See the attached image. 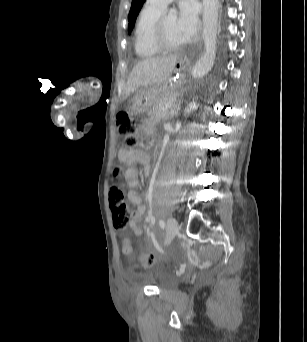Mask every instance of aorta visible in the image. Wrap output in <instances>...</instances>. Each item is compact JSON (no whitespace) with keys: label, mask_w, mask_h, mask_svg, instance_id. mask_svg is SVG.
Listing matches in <instances>:
<instances>
[{"label":"aorta","mask_w":307,"mask_h":342,"mask_svg":"<svg viewBox=\"0 0 307 342\" xmlns=\"http://www.w3.org/2000/svg\"><path fill=\"white\" fill-rule=\"evenodd\" d=\"M219 0H203V42L204 54L192 70L193 78L204 76L212 68L215 60ZM166 20L176 22V10H169Z\"/></svg>","instance_id":"obj_1"}]
</instances>
